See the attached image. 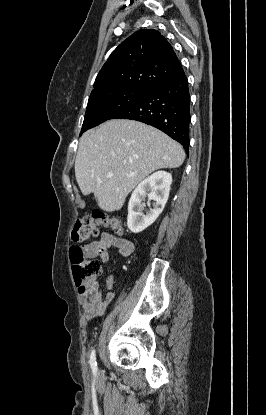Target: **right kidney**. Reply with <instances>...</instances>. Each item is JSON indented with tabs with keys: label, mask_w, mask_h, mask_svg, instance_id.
Masks as SVG:
<instances>
[{
	"label": "right kidney",
	"mask_w": 266,
	"mask_h": 415,
	"mask_svg": "<svg viewBox=\"0 0 266 415\" xmlns=\"http://www.w3.org/2000/svg\"><path fill=\"white\" fill-rule=\"evenodd\" d=\"M172 175L165 171L153 173L144 179L131 194L128 203L127 225L133 233H140L149 227L162 213L169 197ZM153 200V208L145 214V198Z\"/></svg>",
	"instance_id": "ca27d5eb"
}]
</instances>
